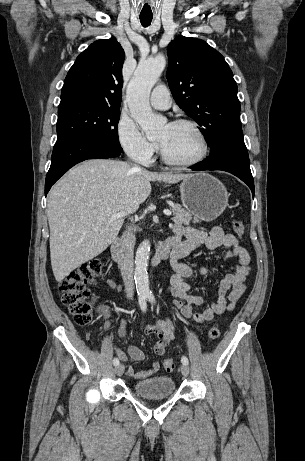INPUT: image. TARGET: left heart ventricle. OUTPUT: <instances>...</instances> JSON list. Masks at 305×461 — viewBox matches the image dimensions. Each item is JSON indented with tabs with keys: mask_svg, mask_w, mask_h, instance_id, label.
Returning a JSON list of instances; mask_svg holds the SVG:
<instances>
[{
	"mask_svg": "<svg viewBox=\"0 0 305 461\" xmlns=\"http://www.w3.org/2000/svg\"><path fill=\"white\" fill-rule=\"evenodd\" d=\"M157 140L163 145L166 153L175 160H192L201 151L199 137L187 125L166 124L162 128Z\"/></svg>",
	"mask_w": 305,
	"mask_h": 461,
	"instance_id": "b2bd125f",
	"label": "left heart ventricle"
}]
</instances>
